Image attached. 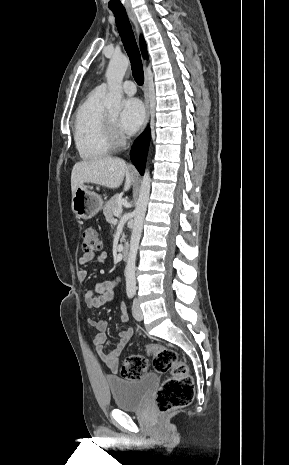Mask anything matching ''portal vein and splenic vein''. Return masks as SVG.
Returning <instances> with one entry per match:
<instances>
[{
  "label": "portal vein and splenic vein",
  "instance_id": "portal-vein-and-splenic-vein-1",
  "mask_svg": "<svg viewBox=\"0 0 289 465\" xmlns=\"http://www.w3.org/2000/svg\"><path fill=\"white\" fill-rule=\"evenodd\" d=\"M121 213H122V208H118V209L115 210L114 216L119 217L121 215Z\"/></svg>",
  "mask_w": 289,
  "mask_h": 465
}]
</instances>
